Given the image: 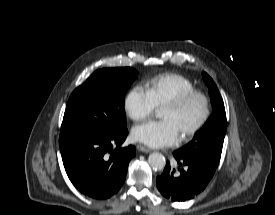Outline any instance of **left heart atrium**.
Returning a JSON list of instances; mask_svg holds the SVG:
<instances>
[{"label": "left heart atrium", "instance_id": "obj_1", "mask_svg": "<svg viewBox=\"0 0 275 215\" xmlns=\"http://www.w3.org/2000/svg\"><path fill=\"white\" fill-rule=\"evenodd\" d=\"M132 136L136 141L151 147L176 144L181 135L170 120L149 121L133 128Z\"/></svg>", "mask_w": 275, "mask_h": 215}]
</instances>
